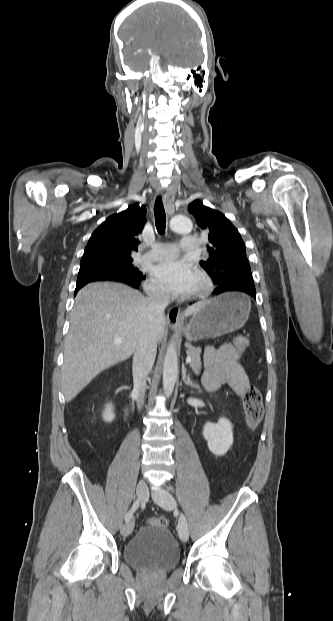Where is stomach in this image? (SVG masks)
Returning <instances> with one entry per match:
<instances>
[{
  "instance_id": "obj_1",
  "label": "stomach",
  "mask_w": 333,
  "mask_h": 621,
  "mask_svg": "<svg viewBox=\"0 0 333 621\" xmlns=\"http://www.w3.org/2000/svg\"><path fill=\"white\" fill-rule=\"evenodd\" d=\"M250 302L241 293H224L205 301L189 322L188 341L212 339L241 328L248 319Z\"/></svg>"
}]
</instances>
